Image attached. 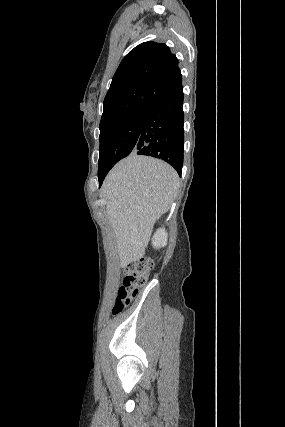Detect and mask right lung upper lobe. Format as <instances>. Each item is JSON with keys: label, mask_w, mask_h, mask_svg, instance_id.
I'll return each mask as SVG.
<instances>
[{"label": "right lung upper lobe", "mask_w": 285, "mask_h": 427, "mask_svg": "<svg viewBox=\"0 0 285 427\" xmlns=\"http://www.w3.org/2000/svg\"><path fill=\"white\" fill-rule=\"evenodd\" d=\"M182 87L178 60L165 44L144 42L120 63L104 99L100 125L122 115L147 109Z\"/></svg>", "instance_id": "right-lung-upper-lobe-1"}]
</instances>
